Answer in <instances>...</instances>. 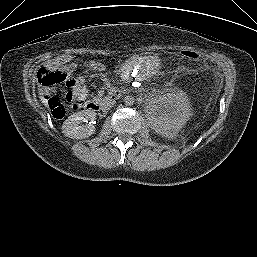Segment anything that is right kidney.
Returning <instances> with one entry per match:
<instances>
[{
	"label": "right kidney",
	"mask_w": 257,
	"mask_h": 257,
	"mask_svg": "<svg viewBox=\"0 0 257 257\" xmlns=\"http://www.w3.org/2000/svg\"><path fill=\"white\" fill-rule=\"evenodd\" d=\"M95 112L82 110L69 116L62 125V132L72 139H84L95 133V127L91 124H81L86 119L93 121Z\"/></svg>",
	"instance_id": "ca27d5eb"
}]
</instances>
